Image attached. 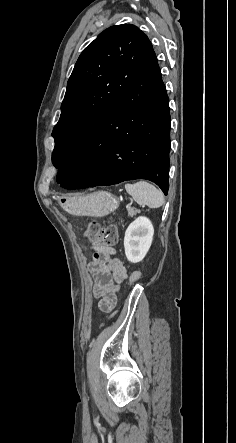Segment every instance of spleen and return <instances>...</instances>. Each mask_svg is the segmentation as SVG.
<instances>
[{
  "label": "spleen",
  "mask_w": 236,
  "mask_h": 443,
  "mask_svg": "<svg viewBox=\"0 0 236 443\" xmlns=\"http://www.w3.org/2000/svg\"><path fill=\"white\" fill-rule=\"evenodd\" d=\"M125 189L139 205L159 208L164 204V196L161 190L146 181L126 184Z\"/></svg>",
  "instance_id": "1"
}]
</instances>
